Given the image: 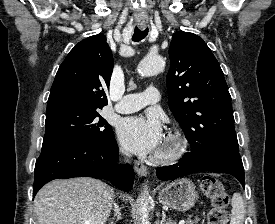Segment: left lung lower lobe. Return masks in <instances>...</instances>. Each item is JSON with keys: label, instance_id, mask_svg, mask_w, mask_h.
Instances as JSON below:
<instances>
[{"label": "left lung lower lobe", "instance_id": "left-lung-lower-lobe-1", "mask_svg": "<svg viewBox=\"0 0 275 224\" xmlns=\"http://www.w3.org/2000/svg\"><path fill=\"white\" fill-rule=\"evenodd\" d=\"M197 171H211L233 175L245 187L244 168L238 150H192L180 162L156 170L162 181L172 180Z\"/></svg>", "mask_w": 275, "mask_h": 224}]
</instances>
